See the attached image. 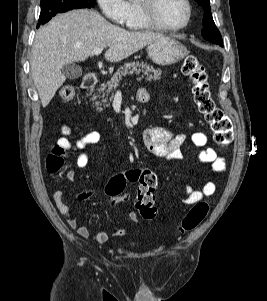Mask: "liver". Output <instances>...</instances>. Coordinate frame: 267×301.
I'll return each instance as SVG.
<instances>
[{"label": "liver", "instance_id": "6515ba94", "mask_svg": "<svg viewBox=\"0 0 267 301\" xmlns=\"http://www.w3.org/2000/svg\"><path fill=\"white\" fill-rule=\"evenodd\" d=\"M162 37L159 33L126 31L93 10L58 14L36 32L32 46L31 75L42 106L50 103L65 82L64 65L85 61L94 50L104 47H109L104 58L118 62Z\"/></svg>", "mask_w": 267, "mask_h": 301}]
</instances>
